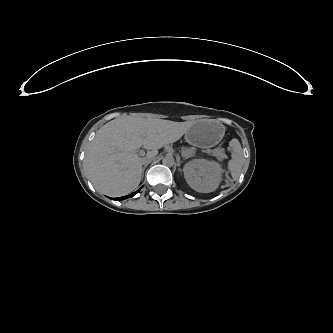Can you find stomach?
Listing matches in <instances>:
<instances>
[{"mask_svg": "<svg viewBox=\"0 0 333 333\" xmlns=\"http://www.w3.org/2000/svg\"><path fill=\"white\" fill-rule=\"evenodd\" d=\"M186 140L189 144L195 146V145H201L199 142H197L195 139H193L191 136H187Z\"/></svg>", "mask_w": 333, "mask_h": 333, "instance_id": "0dacf381", "label": "stomach"}]
</instances>
